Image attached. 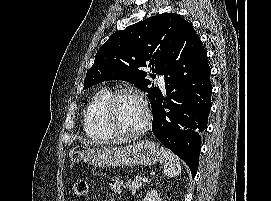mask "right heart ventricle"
Returning <instances> with one entry per match:
<instances>
[{
    "label": "right heart ventricle",
    "instance_id": "obj_1",
    "mask_svg": "<svg viewBox=\"0 0 271 201\" xmlns=\"http://www.w3.org/2000/svg\"><path fill=\"white\" fill-rule=\"evenodd\" d=\"M111 94L107 88L99 90L84 111V130L91 138L109 140L118 136L104 116V106Z\"/></svg>",
    "mask_w": 271,
    "mask_h": 201
}]
</instances>
